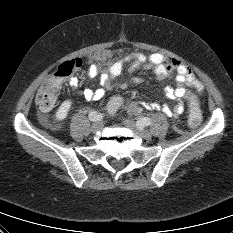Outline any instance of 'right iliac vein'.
<instances>
[{
  "instance_id": "obj_1",
  "label": "right iliac vein",
  "mask_w": 233,
  "mask_h": 233,
  "mask_svg": "<svg viewBox=\"0 0 233 233\" xmlns=\"http://www.w3.org/2000/svg\"><path fill=\"white\" fill-rule=\"evenodd\" d=\"M102 127H103L102 122L101 121H96V122L93 123V125L91 127V130L93 132H96V131L100 130Z\"/></svg>"
}]
</instances>
